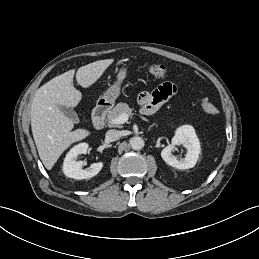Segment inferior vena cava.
Wrapping results in <instances>:
<instances>
[{
	"label": "inferior vena cava",
	"instance_id": "obj_1",
	"mask_svg": "<svg viewBox=\"0 0 259 259\" xmlns=\"http://www.w3.org/2000/svg\"><path fill=\"white\" fill-rule=\"evenodd\" d=\"M105 137L108 141H116L121 137V133L118 130H108Z\"/></svg>",
	"mask_w": 259,
	"mask_h": 259
}]
</instances>
